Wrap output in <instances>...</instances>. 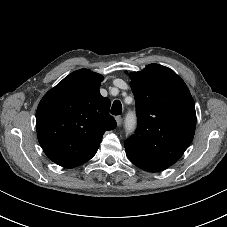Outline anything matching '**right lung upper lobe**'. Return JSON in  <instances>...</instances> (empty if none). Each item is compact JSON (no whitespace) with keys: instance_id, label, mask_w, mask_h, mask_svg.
I'll list each match as a JSON object with an SVG mask.
<instances>
[{"instance_id":"1","label":"right lung upper lobe","mask_w":227,"mask_h":227,"mask_svg":"<svg viewBox=\"0 0 227 227\" xmlns=\"http://www.w3.org/2000/svg\"><path fill=\"white\" fill-rule=\"evenodd\" d=\"M103 76L77 70L49 90L36 112L39 143L56 164L72 168L90 160L105 131L116 128L110 100L99 92Z\"/></svg>"}]
</instances>
